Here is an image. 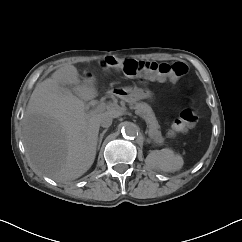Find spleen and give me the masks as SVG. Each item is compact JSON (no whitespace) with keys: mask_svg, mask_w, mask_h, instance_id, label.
<instances>
[{"mask_svg":"<svg viewBox=\"0 0 242 242\" xmlns=\"http://www.w3.org/2000/svg\"><path fill=\"white\" fill-rule=\"evenodd\" d=\"M181 160L182 158L170 149L152 151L147 157L148 164L166 172L175 169Z\"/></svg>","mask_w":242,"mask_h":242,"instance_id":"1","label":"spleen"}]
</instances>
